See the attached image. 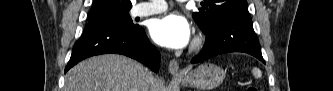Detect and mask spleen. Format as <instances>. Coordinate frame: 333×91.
<instances>
[{
	"label": "spleen",
	"instance_id": "obj_1",
	"mask_svg": "<svg viewBox=\"0 0 333 91\" xmlns=\"http://www.w3.org/2000/svg\"><path fill=\"white\" fill-rule=\"evenodd\" d=\"M252 73L256 78H260L262 76V73L258 68H253Z\"/></svg>",
	"mask_w": 333,
	"mask_h": 91
}]
</instances>
